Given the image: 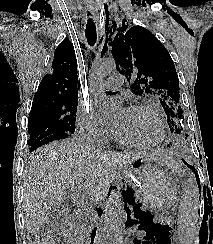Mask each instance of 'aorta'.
<instances>
[{"instance_id":"obj_1","label":"aorta","mask_w":213,"mask_h":244,"mask_svg":"<svg viewBox=\"0 0 213 244\" xmlns=\"http://www.w3.org/2000/svg\"><path fill=\"white\" fill-rule=\"evenodd\" d=\"M116 69L115 60L102 58L95 61L91 67L90 79L93 83L102 81L108 74ZM94 100L100 112L105 116L113 115L119 108L118 103L107 97L106 94L94 91ZM106 220L110 244H123V202L120 191H113L106 204Z\"/></svg>"}]
</instances>
